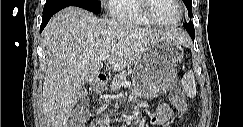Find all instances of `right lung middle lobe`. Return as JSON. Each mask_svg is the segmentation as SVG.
<instances>
[{
    "mask_svg": "<svg viewBox=\"0 0 243 127\" xmlns=\"http://www.w3.org/2000/svg\"><path fill=\"white\" fill-rule=\"evenodd\" d=\"M68 6H78L95 14L101 11L98 0H46L43 11Z\"/></svg>",
    "mask_w": 243,
    "mask_h": 127,
    "instance_id": "dd1d6c3e",
    "label": "right lung middle lobe"
}]
</instances>
